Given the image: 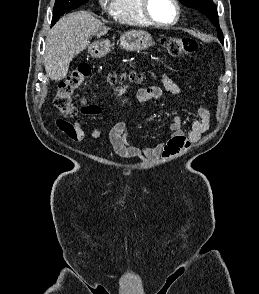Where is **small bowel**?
Wrapping results in <instances>:
<instances>
[{
    "label": "small bowel",
    "instance_id": "1",
    "mask_svg": "<svg viewBox=\"0 0 259 294\" xmlns=\"http://www.w3.org/2000/svg\"><path fill=\"white\" fill-rule=\"evenodd\" d=\"M161 80L167 91L174 95L180 94L181 89L175 82L170 80L165 75H162ZM126 88L127 87H120L115 91L119 109H123L129 104L128 99L122 97ZM135 98L139 104H145L152 101L160 102L163 98V92L161 88L151 86L139 89L136 92ZM81 114L85 116H98L101 114V109L95 104H90L81 109ZM197 115L199 119L193 121L187 130L183 128L182 120L179 117H174L169 127L172 133L171 138L168 141L156 146H139L129 144L125 139L127 126L124 122L119 121L112 126L108 133V144L111 150L110 155L112 156V154H116L125 159H154L156 157L169 158L187 148L191 142L200 140L203 134L209 130L210 112L204 107H199ZM82 122L83 119H78L74 123L58 119L55 124L71 140L81 141L85 136L84 131L81 128ZM102 132V128H97L92 132L91 137L93 139H97L101 136Z\"/></svg>",
    "mask_w": 259,
    "mask_h": 294
}]
</instances>
